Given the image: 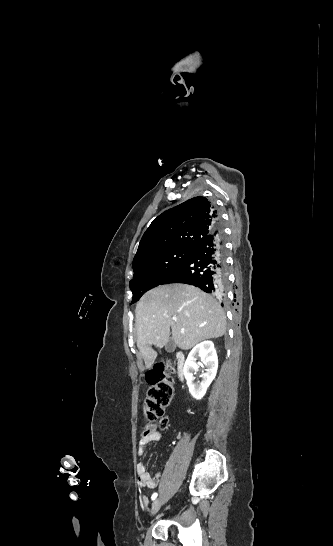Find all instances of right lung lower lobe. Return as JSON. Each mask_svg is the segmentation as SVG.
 Returning a JSON list of instances; mask_svg holds the SVG:
<instances>
[{
	"mask_svg": "<svg viewBox=\"0 0 333 546\" xmlns=\"http://www.w3.org/2000/svg\"><path fill=\"white\" fill-rule=\"evenodd\" d=\"M185 283L222 297L228 284L223 233L218 225L192 247L190 255L159 283Z\"/></svg>",
	"mask_w": 333,
	"mask_h": 546,
	"instance_id": "obj_1",
	"label": "right lung lower lobe"
}]
</instances>
